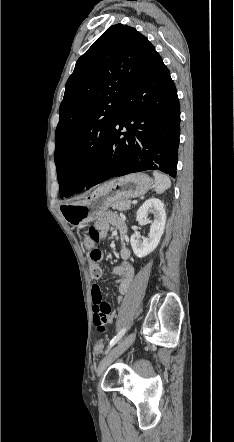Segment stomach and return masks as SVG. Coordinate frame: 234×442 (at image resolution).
Returning <instances> with one entry per match:
<instances>
[{
    "mask_svg": "<svg viewBox=\"0 0 234 442\" xmlns=\"http://www.w3.org/2000/svg\"><path fill=\"white\" fill-rule=\"evenodd\" d=\"M152 187V179L144 173H133L104 183L83 200L62 205L65 220L72 225L91 222L113 203L144 195Z\"/></svg>",
    "mask_w": 234,
    "mask_h": 442,
    "instance_id": "1",
    "label": "stomach"
}]
</instances>
